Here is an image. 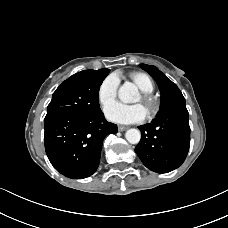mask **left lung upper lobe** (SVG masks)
Returning <instances> with one entry per match:
<instances>
[{
	"instance_id": "left-lung-upper-lobe-1",
	"label": "left lung upper lobe",
	"mask_w": 228,
	"mask_h": 228,
	"mask_svg": "<svg viewBox=\"0 0 228 228\" xmlns=\"http://www.w3.org/2000/svg\"><path fill=\"white\" fill-rule=\"evenodd\" d=\"M140 67L147 71L159 86L161 92V104L157 116L173 104L185 101V98L177 85L169 80L157 67L147 64H140Z\"/></svg>"
}]
</instances>
